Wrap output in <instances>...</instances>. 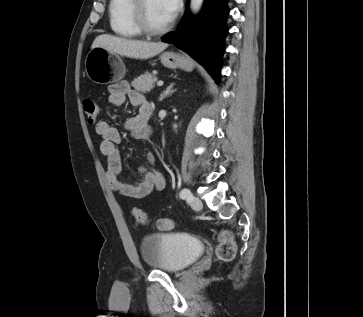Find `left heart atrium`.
I'll use <instances>...</instances> for the list:
<instances>
[{
  "mask_svg": "<svg viewBox=\"0 0 363 317\" xmlns=\"http://www.w3.org/2000/svg\"><path fill=\"white\" fill-rule=\"evenodd\" d=\"M161 1L166 13V17L170 22L171 20L174 19L179 10L180 0H161Z\"/></svg>",
  "mask_w": 363,
  "mask_h": 317,
  "instance_id": "left-heart-atrium-1",
  "label": "left heart atrium"
}]
</instances>
